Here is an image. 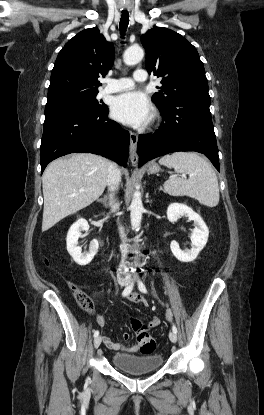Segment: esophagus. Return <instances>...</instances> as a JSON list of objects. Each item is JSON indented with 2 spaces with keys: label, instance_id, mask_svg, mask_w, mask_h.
<instances>
[{
  "label": "esophagus",
  "instance_id": "obj_1",
  "mask_svg": "<svg viewBox=\"0 0 264 415\" xmlns=\"http://www.w3.org/2000/svg\"><path fill=\"white\" fill-rule=\"evenodd\" d=\"M137 134L130 131V160L132 164H136L138 161L137 155Z\"/></svg>",
  "mask_w": 264,
  "mask_h": 415
}]
</instances>
